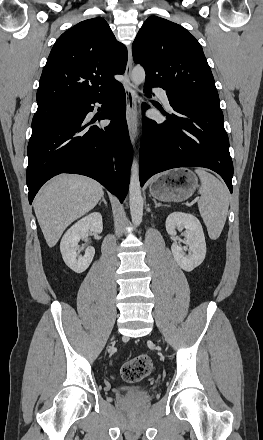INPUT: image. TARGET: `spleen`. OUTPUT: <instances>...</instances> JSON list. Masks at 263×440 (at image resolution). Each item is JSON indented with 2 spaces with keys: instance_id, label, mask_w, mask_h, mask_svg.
<instances>
[{
  "instance_id": "obj_1",
  "label": "spleen",
  "mask_w": 263,
  "mask_h": 440,
  "mask_svg": "<svg viewBox=\"0 0 263 440\" xmlns=\"http://www.w3.org/2000/svg\"><path fill=\"white\" fill-rule=\"evenodd\" d=\"M201 187L198 193V208L207 227L208 235L216 240L225 225L229 208V191L214 175L204 169H196Z\"/></svg>"
}]
</instances>
